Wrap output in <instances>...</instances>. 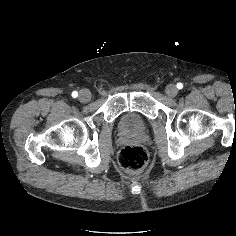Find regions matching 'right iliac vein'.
I'll return each instance as SVG.
<instances>
[{"instance_id":"obj_1","label":"right iliac vein","mask_w":236,"mask_h":236,"mask_svg":"<svg viewBox=\"0 0 236 236\" xmlns=\"http://www.w3.org/2000/svg\"><path fill=\"white\" fill-rule=\"evenodd\" d=\"M78 99L80 102L82 103H87L90 101L91 99V93L89 90L87 89H83L79 92V96H78Z\"/></svg>"}]
</instances>
